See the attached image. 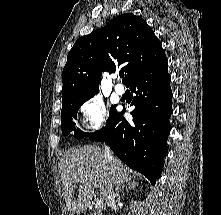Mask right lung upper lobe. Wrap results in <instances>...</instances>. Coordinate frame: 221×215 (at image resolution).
<instances>
[{"instance_id":"cb5924a9","label":"right lung upper lobe","mask_w":221,"mask_h":215,"mask_svg":"<svg viewBox=\"0 0 221 215\" xmlns=\"http://www.w3.org/2000/svg\"><path fill=\"white\" fill-rule=\"evenodd\" d=\"M165 57V51L149 25L127 13L103 28L79 38L68 53L62 72V104L87 100L98 92L103 71L123 66L130 84Z\"/></svg>"}]
</instances>
